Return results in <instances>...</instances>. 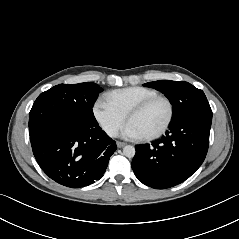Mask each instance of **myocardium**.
<instances>
[{
	"mask_svg": "<svg viewBox=\"0 0 239 239\" xmlns=\"http://www.w3.org/2000/svg\"><path fill=\"white\" fill-rule=\"evenodd\" d=\"M158 100H164L168 104V107H169L168 118H167L165 124L158 131H156L153 134L147 135V136H142L141 139L144 141L155 140V139L161 137L163 134H165L166 131L169 129V127L171 126V124L173 122L174 114H175V107H174L172 100L165 95L158 94V95L149 97V98L145 99L144 101L140 102L139 104L134 106L127 114V121H129L133 116L140 114L145 109H147L151 104H153L154 102H156Z\"/></svg>",
	"mask_w": 239,
	"mask_h": 239,
	"instance_id": "obj_1",
	"label": "myocardium"
}]
</instances>
